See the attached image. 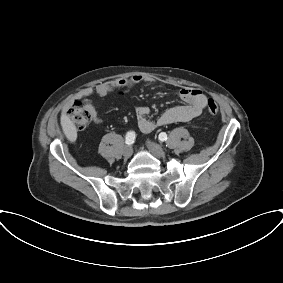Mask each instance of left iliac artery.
<instances>
[{"mask_svg":"<svg viewBox=\"0 0 283 283\" xmlns=\"http://www.w3.org/2000/svg\"><path fill=\"white\" fill-rule=\"evenodd\" d=\"M160 141H166L167 140V134L165 132H161L158 136Z\"/></svg>","mask_w":283,"mask_h":283,"instance_id":"1","label":"left iliac artery"}]
</instances>
